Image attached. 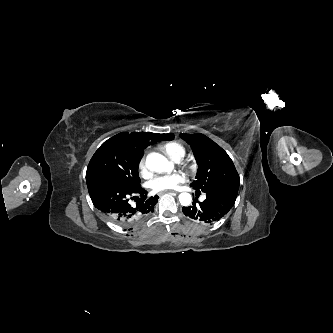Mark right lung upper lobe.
<instances>
[{
  "instance_id": "obj_1",
  "label": "right lung upper lobe",
  "mask_w": 333,
  "mask_h": 333,
  "mask_svg": "<svg viewBox=\"0 0 333 333\" xmlns=\"http://www.w3.org/2000/svg\"><path fill=\"white\" fill-rule=\"evenodd\" d=\"M114 139L120 140L127 147L129 153L135 160L140 161L143 156L144 149L159 141V140H172L173 134H154L151 132L129 134L128 132H122L113 137Z\"/></svg>"
}]
</instances>
